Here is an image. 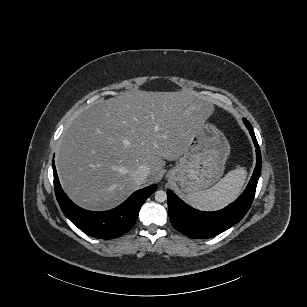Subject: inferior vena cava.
<instances>
[{"label": "inferior vena cava", "instance_id": "obj_1", "mask_svg": "<svg viewBox=\"0 0 307 307\" xmlns=\"http://www.w3.org/2000/svg\"><path fill=\"white\" fill-rule=\"evenodd\" d=\"M150 173L149 166L146 164L141 165L134 173L133 178L137 185L145 183Z\"/></svg>", "mask_w": 307, "mask_h": 307}]
</instances>
